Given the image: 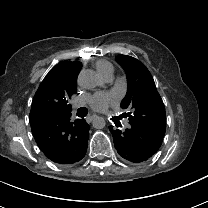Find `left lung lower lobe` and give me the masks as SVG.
Instances as JSON below:
<instances>
[{
  "label": "left lung lower lobe",
  "instance_id": "0a47b994",
  "mask_svg": "<svg viewBox=\"0 0 208 208\" xmlns=\"http://www.w3.org/2000/svg\"><path fill=\"white\" fill-rule=\"evenodd\" d=\"M118 154L131 163L150 159L160 148L163 137L129 122L124 131L109 127Z\"/></svg>",
  "mask_w": 208,
  "mask_h": 208
}]
</instances>
